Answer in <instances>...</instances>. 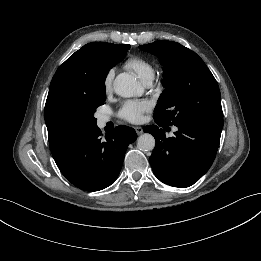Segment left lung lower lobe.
Wrapping results in <instances>:
<instances>
[{"label":"left lung lower lobe","mask_w":261,"mask_h":261,"mask_svg":"<svg viewBox=\"0 0 261 261\" xmlns=\"http://www.w3.org/2000/svg\"><path fill=\"white\" fill-rule=\"evenodd\" d=\"M160 127L164 126L156 122ZM175 136L166 138L163 129L148 125L145 132L155 137L150 157L155 176L174 187H188L197 182L211 167L219 146L223 124L177 126Z\"/></svg>","instance_id":"left-lung-lower-lobe-1"}]
</instances>
